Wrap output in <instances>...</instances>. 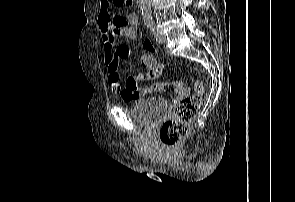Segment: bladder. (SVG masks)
I'll use <instances>...</instances> for the list:
<instances>
[{
  "label": "bladder",
  "mask_w": 295,
  "mask_h": 202,
  "mask_svg": "<svg viewBox=\"0 0 295 202\" xmlns=\"http://www.w3.org/2000/svg\"><path fill=\"white\" fill-rule=\"evenodd\" d=\"M168 104L161 96H151L138 100L131 108L132 117L143 125H154L167 112Z\"/></svg>",
  "instance_id": "1"
}]
</instances>
